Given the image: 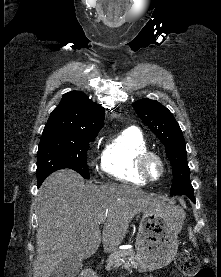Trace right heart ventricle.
Instances as JSON below:
<instances>
[{"label":"right heart ventricle","mask_w":221,"mask_h":277,"mask_svg":"<svg viewBox=\"0 0 221 277\" xmlns=\"http://www.w3.org/2000/svg\"><path fill=\"white\" fill-rule=\"evenodd\" d=\"M149 150L143 133L130 127L111 138L102 154V168L105 173L118 181L142 185L146 180L137 170L139 156Z\"/></svg>","instance_id":"obj_1"}]
</instances>
